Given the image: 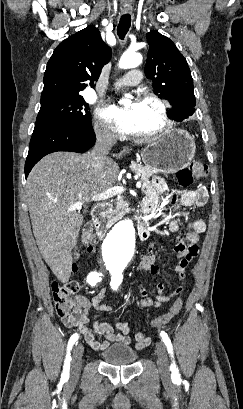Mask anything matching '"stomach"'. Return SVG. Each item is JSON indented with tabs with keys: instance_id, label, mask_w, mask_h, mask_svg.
I'll return each instance as SVG.
<instances>
[{
	"instance_id": "stomach-1",
	"label": "stomach",
	"mask_w": 243,
	"mask_h": 409,
	"mask_svg": "<svg viewBox=\"0 0 243 409\" xmlns=\"http://www.w3.org/2000/svg\"><path fill=\"white\" fill-rule=\"evenodd\" d=\"M194 138L185 130L173 129L142 151V161L156 172L173 173L187 167L194 158Z\"/></svg>"
}]
</instances>
